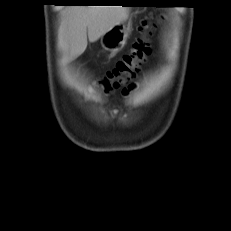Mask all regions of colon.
<instances>
[{
	"label": "colon",
	"instance_id": "colon-1",
	"mask_svg": "<svg viewBox=\"0 0 231 231\" xmlns=\"http://www.w3.org/2000/svg\"><path fill=\"white\" fill-rule=\"evenodd\" d=\"M150 28L151 25L144 21L140 30L146 33ZM149 52L150 48L147 39L145 37L139 38L133 44L131 51L124 55L100 81L105 91H111L135 76Z\"/></svg>",
	"mask_w": 231,
	"mask_h": 231
}]
</instances>
